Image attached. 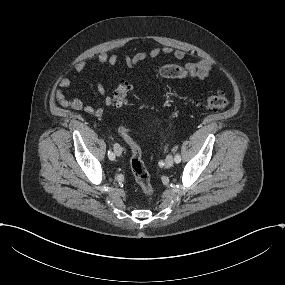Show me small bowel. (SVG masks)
Here are the masks:
<instances>
[{"instance_id": "1", "label": "small bowel", "mask_w": 285, "mask_h": 285, "mask_svg": "<svg viewBox=\"0 0 285 285\" xmlns=\"http://www.w3.org/2000/svg\"><path fill=\"white\" fill-rule=\"evenodd\" d=\"M186 53L184 50L173 49L172 47H155L149 52L141 51L134 55H127L124 57L123 61L128 67H134L141 62L148 60L154 61L160 56H172L176 60H181L185 57ZM118 62V55L115 53L102 52L98 55L99 65L107 68H111ZM86 61L80 59L72 65V70L76 73H82L85 70ZM212 64L207 59H201L197 61H190L185 65V70L188 73L189 81H203L208 78L211 72ZM59 88L55 91V98L58 104L65 108H71L76 111H83L94 117H102L105 111L111 107L112 96L105 95V86L101 81L97 82V91L100 95L104 96L103 104L99 107H93L91 105L85 104L82 100L78 98H68L62 91V89H67L71 86V80L67 75L60 77L58 81Z\"/></svg>"}]
</instances>
